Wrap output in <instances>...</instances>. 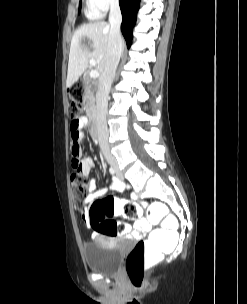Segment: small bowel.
Returning <instances> with one entry per match:
<instances>
[{
  "instance_id": "c3829d8e",
  "label": "small bowel",
  "mask_w": 247,
  "mask_h": 304,
  "mask_svg": "<svg viewBox=\"0 0 247 304\" xmlns=\"http://www.w3.org/2000/svg\"><path fill=\"white\" fill-rule=\"evenodd\" d=\"M87 118L81 117L78 119V121L73 120L70 125V141H71V155L69 158V161L71 163V166L76 167V169L79 171L80 174L83 176H88L91 172V170L95 166V162L91 157L84 158V152L83 151V144H80V141L83 137V128L87 126ZM115 191H122L124 190V184L120 181H115L112 184L111 187ZM88 195L86 196L85 203L89 204L96 199L102 197L106 192L107 189H100L97 190L96 181L94 179H91L88 182L87 186ZM135 198H137L135 196ZM82 217L87 222L89 227H92L90 218H89V212L86 207L81 209ZM150 230V225H146L145 219H139L136 223L133 229H129L128 233L125 235L127 238L131 237H138L141 233H146ZM99 234H95L94 236H97Z\"/></svg>"
}]
</instances>
